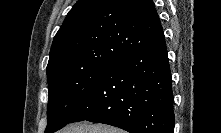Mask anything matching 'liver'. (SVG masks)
I'll return each instance as SVG.
<instances>
[{
	"label": "liver",
	"mask_w": 221,
	"mask_h": 133,
	"mask_svg": "<svg viewBox=\"0 0 221 133\" xmlns=\"http://www.w3.org/2000/svg\"><path fill=\"white\" fill-rule=\"evenodd\" d=\"M61 133H124L123 130L88 122L76 123L61 130Z\"/></svg>",
	"instance_id": "liver-1"
}]
</instances>
